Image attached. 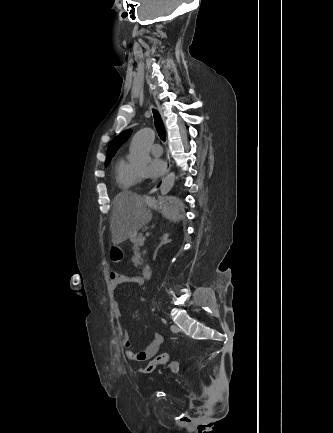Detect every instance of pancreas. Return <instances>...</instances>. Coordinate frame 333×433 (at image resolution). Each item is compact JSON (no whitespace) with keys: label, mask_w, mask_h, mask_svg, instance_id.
Segmentation results:
<instances>
[{"label":"pancreas","mask_w":333,"mask_h":433,"mask_svg":"<svg viewBox=\"0 0 333 433\" xmlns=\"http://www.w3.org/2000/svg\"><path fill=\"white\" fill-rule=\"evenodd\" d=\"M141 238H143L142 234H139L138 236L131 237V242L133 243V250L136 254L138 253L140 255H141V253H140V246L141 245H140L139 240Z\"/></svg>","instance_id":"obj_1"}]
</instances>
